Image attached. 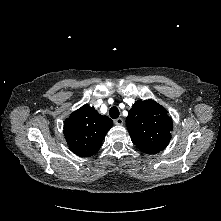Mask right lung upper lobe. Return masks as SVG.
<instances>
[{
	"mask_svg": "<svg viewBox=\"0 0 221 221\" xmlns=\"http://www.w3.org/2000/svg\"><path fill=\"white\" fill-rule=\"evenodd\" d=\"M113 121L87 104L74 111L64 122V136L72 152L81 157L94 155L112 127Z\"/></svg>",
	"mask_w": 221,
	"mask_h": 221,
	"instance_id": "1",
	"label": "right lung upper lobe"
}]
</instances>
